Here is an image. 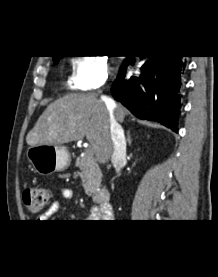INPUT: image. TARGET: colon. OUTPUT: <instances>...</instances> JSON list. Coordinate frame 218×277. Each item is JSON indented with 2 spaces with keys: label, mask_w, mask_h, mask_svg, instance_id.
Returning <instances> with one entry per match:
<instances>
[{
  "label": "colon",
  "mask_w": 218,
  "mask_h": 277,
  "mask_svg": "<svg viewBox=\"0 0 218 277\" xmlns=\"http://www.w3.org/2000/svg\"><path fill=\"white\" fill-rule=\"evenodd\" d=\"M50 200V191L45 187H30L23 192V203L31 213L41 212Z\"/></svg>",
  "instance_id": "1"
}]
</instances>
